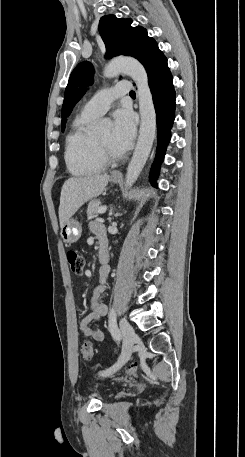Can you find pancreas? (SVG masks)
<instances>
[{
	"label": "pancreas",
	"instance_id": "1",
	"mask_svg": "<svg viewBox=\"0 0 245 457\" xmlns=\"http://www.w3.org/2000/svg\"><path fill=\"white\" fill-rule=\"evenodd\" d=\"M100 198H96V200H90L87 208V216H94V214H97L98 208H100Z\"/></svg>",
	"mask_w": 245,
	"mask_h": 457
}]
</instances>
